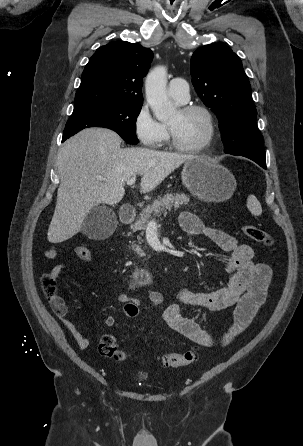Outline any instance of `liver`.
Here are the masks:
<instances>
[{
  "label": "liver",
  "mask_w": 303,
  "mask_h": 446,
  "mask_svg": "<svg viewBox=\"0 0 303 446\" xmlns=\"http://www.w3.org/2000/svg\"><path fill=\"white\" fill-rule=\"evenodd\" d=\"M121 138L104 128H88L67 140L57 156L60 185L47 238L61 243L76 235L90 210L115 205L124 185L142 175L140 192L155 189L184 162L196 158L147 148H120Z\"/></svg>",
  "instance_id": "6515ba94"
}]
</instances>
